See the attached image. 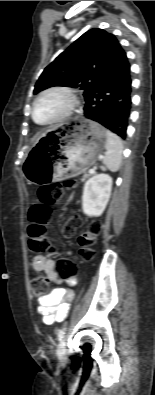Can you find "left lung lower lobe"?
Masks as SVG:
<instances>
[{
    "instance_id": "obj_1",
    "label": "left lung lower lobe",
    "mask_w": 155,
    "mask_h": 395,
    "mask_svg": "<svg viewBox=\"0 0 155 395\" xmlns=\"http://www.w3.org/2000/svg\"><path fill=\"white\" fill-rule=\"evenodd\" d=\"M131 74L128 58L120 60L85 99V117L126 138L131 110Z\"/></svg>"
}]
</instances>
